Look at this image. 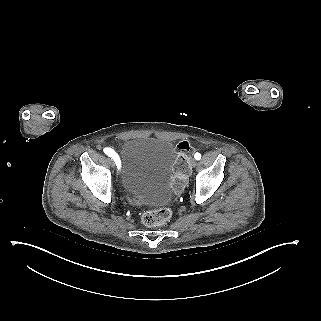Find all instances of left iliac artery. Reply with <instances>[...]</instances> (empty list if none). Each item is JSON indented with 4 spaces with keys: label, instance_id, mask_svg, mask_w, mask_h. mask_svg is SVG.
<instances>
[{
    "label": "left iliac artery",
    "instance_id": "left-iliac-artery-1",
    "mask_svg": "<svg viewBox=\"0 0 321 321\" xmlns=\"http://www.w3.org/2000/svg\"><path fill=\"white\" fill-rule=\"evenodd\" d=\"M194 158L196 160H200L201 159V154L200 153H195Z\"/></svg>",
    "mask_w": 321,
    "mask_h": 321
}]
</instances>
